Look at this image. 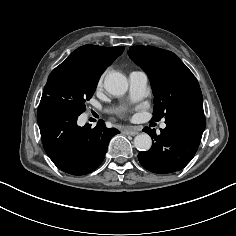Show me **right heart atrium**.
I'll list each match as a JSON object with an SVG mask.
<instances>
[{"mask_svg":"<svg viewBox=\"0 0 236 236\" xmlns=\"http://www.w3.org/2000/svg\"><path fill=\"white\" fill-rule=\"evenodd\" d=\"M105 74H106V73H103V74L100 76V78H99V80H98V85H100V84L102 83Z\"/></svg>","mask_w":236,"mask_h":236,"instance_id":"1","label":"right heart atrium"}]
</instances>
